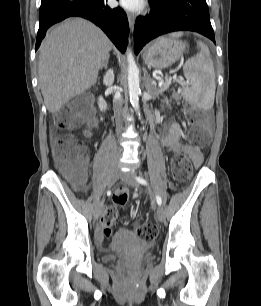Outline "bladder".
<instances>
[{"instance_id": "1", "label": "bladder", "mask_w": 261, "mask_h": 306, "mask_svg": "<svg viewBox=\"0 0 261 306\" xmlns=\"http://www.w3.org/2000/svg\"><path fill=\"white\" fill-rule=\"evenodd\" d=\"M132 238L135 241H138L136 238H134L131 232L127 230L120 231L117 234L114 245L104 252V262H112L120 256H125L140 261L148 260L149 256L147 254L135 255L129 250L127 240Z\"/></svg>"}]
</instances>
